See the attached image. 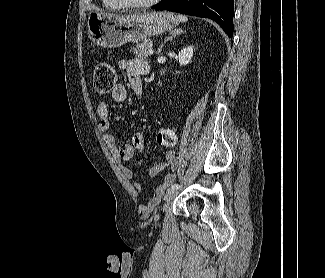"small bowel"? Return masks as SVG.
Instances as JSON below:
<instances>
[{
	"label": "small bowel",
	"instance_id": "small-bowel-1",
	"mask_svg": "<svg viewBox=\"0 0 325 278\" xmlns=\"http://www.w3.org/2000/svg\"><path fill=\"white\" fill-rule=\"evenodd\" d=\"M118 67L120 70L127 73L129 85L136 99L139 100L143 88L142 76H145L149 72L148 63L141 58L121 57L118 60ZM112 99L117 103H123L126 101L127 88L124 84L119 83L114 88L112 92ZM97 113L99 116V129L102 132H106L104 134V140L107 146L113 153L121 172L126 178L132 180L134 173L129 167L124 165V163L131 161L137 153L143 150L145 143L143 133L140 131L135 132L130 142L118 145L116 137L111 133H107L111 125L110 112L107 102L102 101L99 103ZM174 146L168 147L169 150L165 154V161L163 163L151 165L146 168V172L150 176H155L165 169L170 170V173L164 176L162 183L156 188L154 193L155 198H159L164 193V190L175 180L174 171L177 167V157L174 151ZM134 187L140 191L142 190L143 185L141 182L136 181L134 182Z\"/></svg>",
	"mask_w": 325,
	"mask_h": 278
}]
</instances>
